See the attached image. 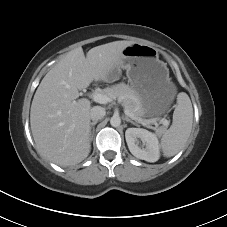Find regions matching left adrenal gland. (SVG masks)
<instances>
[{
    "instance_id": "obj_1",
    "label": "left adrenal gland",
    "mask_w": 227,
    "mask_h": 227,
    "mask_svg": "<svg viewBox=\"0 0 227 227\" xmlns=\"http://www.w3.org/2000/svg\"><path fill=\"white\" fill-rule=\"evenodd\" d=\"M124 120H126L127 122L132 123L133 125H138L136 122H134L133 120H131L130 118H128L127 116H125Z\"/></svg>"
}]
</instances>
